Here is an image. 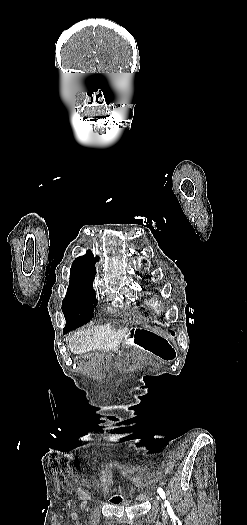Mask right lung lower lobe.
<instances>
[{
  "label": "right lung lower lobe",
  "mask_w": 247,
  "mask_h": 525,
  "mask_svg": "<svg viewBox=\"0 0 247 525\" xmlns=\"http://www.w3.org/2000/svg\"><path fill=\"white\" fill-rule=\"evenodd\" d=\"M70 330H73V329H69V328H64V332H68Z\"/></svg>",
  "instance_id": "98d812e1"
}]
</instances>
